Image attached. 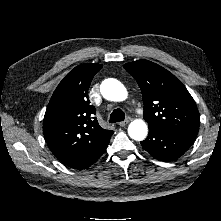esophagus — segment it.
Instances as JSON below:
<instances>
[{
    "label": "esophagus",
    "mask_w": 221,
    "mask_h": 221,
    "mask_svg": "<svg viewBox=\"0 0 221 221\" xmlns=\"http://www.w3.org/2000/svg\"><path fill=\"white\" fill-rule=\"evenodd\" d=\"M130 122V118H127L126 120L119 122L120 127L126 126Z\"/></svg>",
    "instance_id": "1"
}]
</instances>
